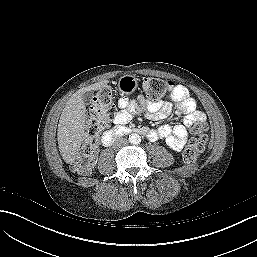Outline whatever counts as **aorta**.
I'll use <instances>...</instances> for the list:
<instances>
[{"instance_id": "obj_1", "label": "aorta", "mask_w": 257, "mask_h": 257, "mask_svg": "<svg viewBox=\"0 0 257 257\" xmlns=\"http://www.w3.org/2000/svg\"><path fill=\"white\" fill-rule=\"evenodd\" d=\"M129 142L133 145H138L141 142V137L139 134H130L129 135Z\"/></svg>"}]
</instances>
